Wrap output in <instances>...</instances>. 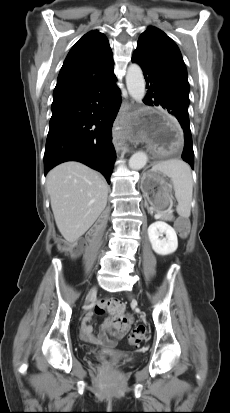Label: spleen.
I'll list each match as a JSON object with an SVG mask.
<instances>
[{
	"label": "spleen",
	"instance_id": "1",
	"mask_svg": "<svg viewBox=\"0 0 230 413\" xmlns=\"http://www.w3.org/2000/svg\"><path fill=\"white\" fill-rule=\"evenodd\" d=\"M168 176L173 184L178 202L176 211L182 218H189L193 193V179L190 167L180 159H170L159 162L151 169Z\"/></svg>",
	"mask_w": 230,
	"mask_h": 413
}]
</instances>
